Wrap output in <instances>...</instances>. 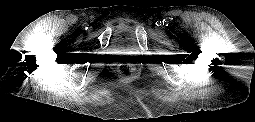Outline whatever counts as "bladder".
<instances>
[{
  "label": "bladder",
  "instance_id": "31cf9c89",
  "mask_svg": "<svg viewBox=\"0 0 255 122\" xmlns=\"http://www.w3.org/2000/svg\"><path fill=\"white\" fill-rule=\"evenodd\" d=\"M113 43L117 49H133L135 46L133 28L128 24L118 28L113 37Z\"/></svg>",
  "mask_w": 255,
  "mask_h": 122
}]
</instances>
